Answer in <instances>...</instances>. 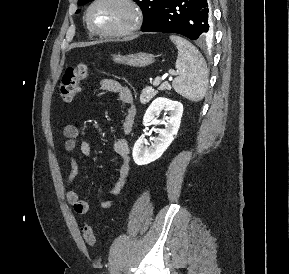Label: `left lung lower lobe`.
I'll return each instance as SVG.
<instances>
[{"label": "left lung lower lobe", "instance_id": "obj_1", "mask_svg": "<svg viewBox=\"0 0 289 274\" xmlns=\"http://www.w3.org/2000/svg\"><path fill=\"white\" fill-rule=\"evenodd\" d=\"M210 24L208 0H165L156 17L141 31L176 33L204 41L212 36Z\"/></svg>", "mask_w": 289, "mask_h": 274}]
</instances>
